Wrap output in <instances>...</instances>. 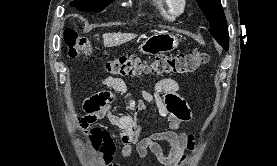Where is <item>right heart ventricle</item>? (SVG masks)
Listing matches in <instances>:
<instances>
[{"label": "right heart ventricle", "mask_w": 277, "mask_h": 166, "mask_svg": "<svg viewBox=\"0 0 277 166\" xmlns=\"http://www.w3.org/2000/svg\"><path fill=\"white\" fill-rule=\"evenodd\" d=\"M154 5L159 11V13L167 18V19H173L175 16V12L172 10L169 0H153Z\"/></svg>", "instance_id": "1"}]
</instances>
